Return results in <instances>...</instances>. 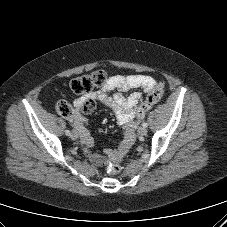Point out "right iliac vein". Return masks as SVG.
Instances as JSON below:
<instances>
[{
  "label": "right iliac vein",
  "mask_w": 227,
  "mask_h": 227,
  "mask_svg": "<svg viewBox=\"0 0 227 227\" xmlns=\"http://www.w3.org/2000/svg\"><path fill=\"white\" fill-rule=\"evenodd\" d=\"M79 134L76 130L72 131L70 134L71 139L76 140L78 138Z\"/></svg>",
  "instance_id": "63e3f726"
}]
</instances>
